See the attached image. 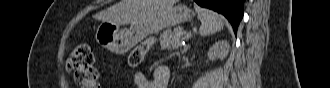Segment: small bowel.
<instances>
[{"label":"small bowel","instance_id":"1","mask_svg":"<svg viewBox=\"0 0 330 88\" xmlns=\"http://www.w3.org/2000/svg\"><path fill=\"white\" fill-rule=\"evenodd\" d=\"M170 78V70L167 66L159 65L153 70L152 79H147L143 73L134 74V82L138 88H166Z\"/></svg>","mask_w":330,"mask_h":88}]
</instances>
